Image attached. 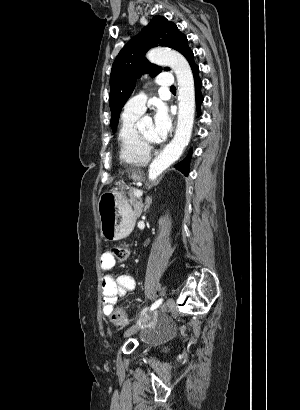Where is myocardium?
I'll list each match as a JSON object with an SVG mask.
<instances>
[{"mask_svg": "<svg viewBox=\"0 0 300 410\" xmlns=\"http://www.w3.org/2000/svg\"><path fill=\"white\" fill-rule=\"evenodd\" d=\"M138 136L141 140V142L143 143L144 146H146L147 148H151L155 145V142L148 139L140 129H138Z\"/></svg>", "mask_w": 300, "mask_h": 410, "instance_id": "f54148a6", "label": "myocardium"}]
</instances>
